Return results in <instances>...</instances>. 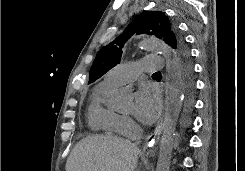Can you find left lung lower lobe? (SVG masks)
Returning a JSON list of instances; mask_svg holds the SVG:
<instances>
[{"instance_id": "0a47b994", "label": "left lung lower lobe", "mask_w": 245, "mask_h": 171, "mask_svg": "<svg viewBox=\"0 0 245 171\" xmlns=\"http://www.w3.org/2000/svg\"><path fill=\"white\" fill-rule=\"evenodd\" d=\"M177 72L182 89L186 96L185 107L189 110L192 107V94L194 89L193 63L192 61H175Z\"/></svg>"}]
</instances>
